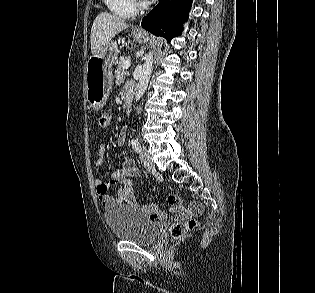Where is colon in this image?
Here are the masks:
<instances>
[{"label": "colon", "mask_w": 315, "mask_h": 293, "mask_svg": "<svg viewBox=\"0 0 315 293\" xmlns=\"http://www.w3.org/2000/svg\"><path fill=\"white\" fill-rule=\"evenodd\" d=\"M109 123V115L102 113L98 117V124L101 129H105ZM168 202L174 208H181L182 201L176 194H170L168 196ZM200 206L198 204L190 205L187 210L182 214L181 220L175 223L172 227L171 234L175 240H180L187 232L193 230L198 222L192 218L193 215L199 213Z\"/></svg>", "instance_id": "1"}]
</instances>
